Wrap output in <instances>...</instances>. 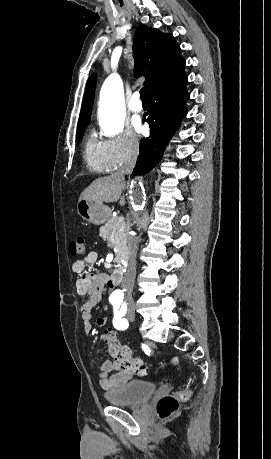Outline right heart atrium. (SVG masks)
Segmentation results:
<instances>
[{"mask_svg": "<svg viewBox=\"0 0 271 459\" xmlns=\"http://www.w3.org/2000/svg\"><path fill=\"white\" fill-rule=\"evenodd\" d=\"M101 143L113 168L135 160L141 149L139 139L129 128L120 130L114 137Z\"/></svg>", "mask_w": 271, "mask_h": 459, "instance_id": "1", "label": "right heart atrium"}]
</instances>
